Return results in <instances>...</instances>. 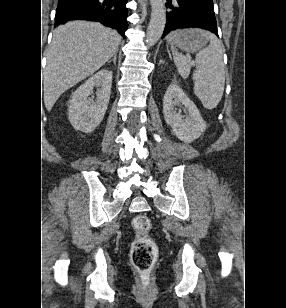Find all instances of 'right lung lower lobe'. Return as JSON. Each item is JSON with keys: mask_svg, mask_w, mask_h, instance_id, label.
Returning <instances> with one entry per match:
<instances>
[{"mask_svg": "<svg viewBox=\"0 0 286 308\" xmlns=\"http://www.w3.org/2000/svg\"><path fill=\"white\" fill-rule=\"evenodd\" d=\"M128 0H58L55 25L69 20L81 19L98 21L115 28L125 38L128 28Z\"/></svg>", "mask_w": 286, "mask_h": 308, "instance_id": "right-lung-lower-lobe-1", "label": "right lung lower lobe"}]
</instances>
